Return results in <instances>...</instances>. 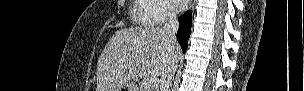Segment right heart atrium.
Returning a JSON list of instances; mask_svg holds the SVG:
<instances>
[{
  "mask_svg": "<svg viewBox=\"0 0 304 91\" xmlns=\"http://www.w3.org/2000/svg\"><path fill=\"white\" fill-rule=\"evenodd\" d=\"M148 6L144 16L148 22L163 23L175 16V10L167 0H143Z\"/></svg>",
  "mask_w": 304,
  "mask_h": 91,
  "instance_id": "d8ad5b80",
  "label": "right heart atrium"
}]
</instances>
